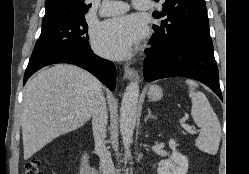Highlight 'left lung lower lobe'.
<instances>
[{
    "label": "left lung lower lobe",
    "mask_w": 249,
    "mask_h": 174,
    "mask_svg": "<svg viewBox=\"0 0 249 174\" xmlns=\"http://www.w3.org/2000/svg\"><path fill=\"white\" fill-rule=\"evenodd\" d=\"M149 42L153 47L146 51L143 68L146 81L173 76L187 77L201 81L222 100L212 41L185 47H167L154 37Z\"/></svg>",
    "instance_id": "0a47b994"
}]
</instances>
